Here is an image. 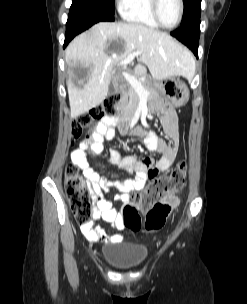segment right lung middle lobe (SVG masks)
<instances>
[{
    "mask_svg": "<svg viewBox=\"0 0 247 304\" xmlns=\"http://www.w3.org/2000/svg\"><path fill=\"white\" fill-rule=\"evenodd\" d=\"M70 11L97 12L113 16L114 0H73Z\"/></svg>",
    "mask_w": 247,
    "mask_h": 304,
    "instance_id": "obj_1",
    "label": "right lung middle lobe"
}]
</instances>
